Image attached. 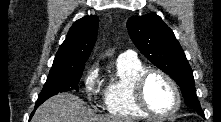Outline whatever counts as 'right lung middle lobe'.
Returning a JSON list of instances; mask_svg holds the SVG:
<instances>
[{
	"mask_svg": "<svg viewBox=\"0 0 221 122\" xmlns=\"http://www.w3.org/2000/svg\"><path fill=\"white\" fill-rule=\"evenodd\" d=\"M85 65L52 66L47 81L38 97L36 104H42L48 98L70 90L78 91V83Z\"/></svg>",
	"mask_w": 221,
	"mask_h": 122,
	"instance_id": "right-lung-middle-lobe-1",
	"label": "right lung middle lobe"
}]
</instances>
